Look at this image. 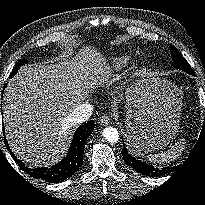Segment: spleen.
<instances>
[{"label":"spleen","instance_id":"1","mask_svg":"<svg viewBox=\"0 0 205 205\" xmlns=\"http://www.w3.org/2000/svg\"><path fill=\"white\" fill-rule=\"evenodd\" d=\"M183 149V143L178 142L165 152H162L160 154L148 155V160L150 162L159 164L168 163L172 160H175L181 154Z\"/></svg>","mask_w":205,"mask_h":205}]
</instances>
